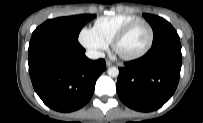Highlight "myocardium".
<instances>
[{"label": "myocardium", "instance_id": "f54148a6", "mask_svg": "<svg viewBox=\"0 0 203 123\" xmlns=\"http://www.w3.org/2000/svg\"><path fill=\"white\" fill-rule=\"evenodd\" d=\"M138 24H144L147 26L148 30H149V39L148 42L146 44V46L139 52L137 53H133V54H124L119 50V45L121 43V41L128 35V33ZM153 41H154V30L152 25L143 19H138L135 20L129 24H127L125 27H123L114 37L113 41H112V47L113 50L115 52V54L123 59V60H136L139 59L141 57H143L145 54H147L149 52V50L151 49L152 45H153Z\"/></svg>", "mask_w": 203, "mask_h": 123}]
</instances>
